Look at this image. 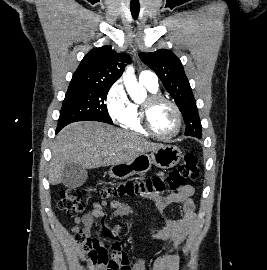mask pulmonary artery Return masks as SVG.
<instances>
[{"mask_svg": "<svg viewBox=\"0 0 267 270\" xmlns=\"http://www.w3.org/2000/svg\"><path fill=\"white\" fill-rule=\"evenodd\" d=\"M139 80L142 83L149 84L151 86H158V77L157 75L149 70H144L139 74Z\"/></svg>", "mask_w": 267, "mask_h": 270, "instance_id": "pulmonary-artery-1", "label": "pulmonary artery"}]
</instances>
